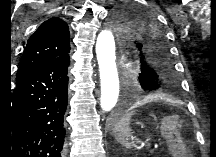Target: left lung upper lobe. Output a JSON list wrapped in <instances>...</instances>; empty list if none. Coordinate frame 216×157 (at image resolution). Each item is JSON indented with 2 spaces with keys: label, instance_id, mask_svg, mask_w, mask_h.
Masks as SVG:
<instances>
[{
  "label": "left lung upper lobe",
  "instance_id": "obj_1",
  "mask_svg": "<svg viewBox=\"0 0 216 157\" xmlns=\"http://www.w3.org/2000/svg\"><path fill=\"white\" fill-rule=\"evenodd\" d=\"M159 22L152 10L126 4L115 8L109 26L118 34L127 72L136 87L144 94L178 99L181 83Z\"/></svg>",
  "mask_w": 216,
  "mask_h": 157
}]
</instances>
